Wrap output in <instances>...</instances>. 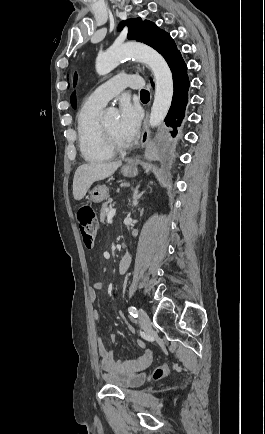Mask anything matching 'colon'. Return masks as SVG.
Returning a JSON list of instances; mask_svg holds the SVG:
<instances>
[{"label":"colon","mask_w":265,"mask_h":434,"mask_svg":"<svg viewBox=\"0 0 265 434\" xmlns=\"http://www.w3.org/2000/svg\"><path fill=\"white\" fill-rule=\"evenodd\" d=\"M83 245L90 248L94 245L97 236V214L90 206L81 207L76 214ZM169 365H159L149 374L150 379L160 380L169 373Z\"/></svg>","instance_id":"5ec220e1"}]
</instances>
